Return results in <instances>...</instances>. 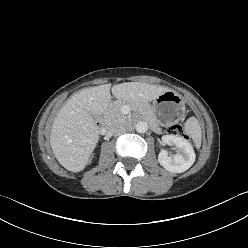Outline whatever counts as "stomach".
<instances>
[{
  "instance_id": "1",
  "label": "stomach",
  "mask_w": 248,
  "mask_h": 248,
  "mask_svg": "<svg viewBox=\"0 0 248 248\" xmlns=\"http://www.w3.org/2000/svg\"><path fill=\"white\" fill-rule=\"evenodd\" d=\"M149 109L161 125H169L183 116L185 103L178 93L169 90L154 99Z\"/></svg>"
}]
</instances>
